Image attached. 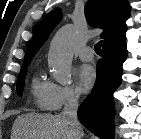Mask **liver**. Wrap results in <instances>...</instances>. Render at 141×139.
I'll return each instance as SVG.
<instances>
[{"mask_svg": "<svg viewBox=\"0 0 141 139\" xmlns=\"http://www.w3.org/2000/svg\"><path fill=\"white\" fill-rule=\"evenodd\" d=\"M72 137L70 125L61 115L38 113L18 116L11 132V139H73Z\"/></svg>", "mask_w": 141, "mask_h": 139, "instance_id": "1", "label": "liver"}]
</instances>
